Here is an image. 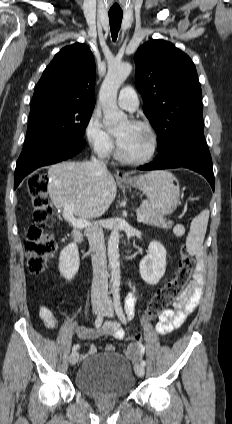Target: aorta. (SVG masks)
<instances>
[{"instance_id":"aorta-1","label":"aorta","mask_w":232,"mask_h":424,"mask_svg":"<svg viewBox=\"0 0 232 424\" xmlns=\"http://www.w3.org/2000/svg\"><path fill=\"white\" fill-rule=\"evenodd\" d=\"M132 71L130 63L113 64L108 67L107 75L102 83L99 100L104 114V125L107 128H115L127 121V115L117 106V93L121 84ZM119 237L120 232L116 227L112 230L108 239V259L111 269V289L118 293L120 289V261H119Z\"/></svg>"}]
</instances>
